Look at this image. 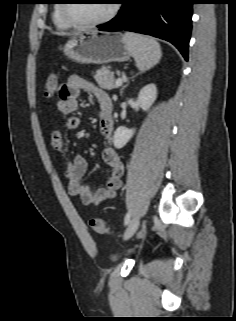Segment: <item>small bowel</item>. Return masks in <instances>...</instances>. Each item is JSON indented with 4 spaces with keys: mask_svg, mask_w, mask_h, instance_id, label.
I'll use <instances>...</instances> for the list:
<instances>
[{
    "mask_svg": "<svg viewBox=\"0 0 236 321\" xmlns=\"http://www.w3.org/2000/svg\"><path fill=\"white\" fill-rule=\"evenodd\" d=\"M82 91L93 94L97 98L101 133L110 142L114 129V121L109 110L111 98L103 88L78 75H71L59 90L56 107L62 115L66 116L63 127L73 130L80 126L81 120L69 115L78 109ZM51 144L64 156L67 191L70 196L79 199L85 205H100L116 197L124 174V166L112 147L107 146L102 150V159L110 169L109 179L104 187L93 188L83 181L87 172L86 159L78 152H73L69 157L64 155L65 140L61 130H54L51 133Z\"/></svg>",
    "mask_w": 236,
    "mask_h": 321,
    "instance_id": "c3829d8e",
    "label": "small bowel"
}]
</instances>
